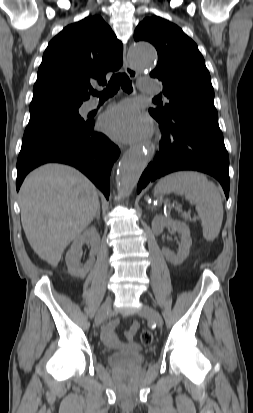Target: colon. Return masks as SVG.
Listing matches in <instances>:
<instances>
[{"mask_svg": "<svg viewBox=\"0 0 253 413\" xmlns=\"http://www.w3.org/2000/svg\"><path fill=\"white\" fill-rule=\"evenodd\" d=\"M140 341L144 345H149L153 342V334L149 330H143L140 333Z\"/></svg>", "mask_w": 253, "mask_h": 413, "instance_id": "obj_1", "label": "colon"}]
</instances>
